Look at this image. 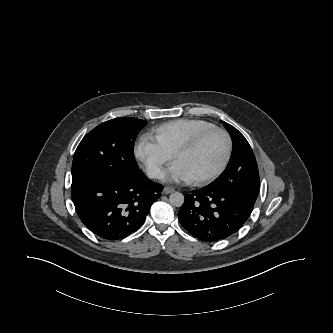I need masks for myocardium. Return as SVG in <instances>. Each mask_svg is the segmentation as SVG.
I'll use <instances>...</instances> for the list:
<instances>
[{
    "label": "myocardium",
    "instance_id": "obj_1",
    "mask_svg": "<svg viewBox=\"0 0 333 333\" xmlns=\"http://www.w3.org/2000/svg\"><path fill=\"white\" fill-rule=\"evenodd\" d=\"M218 132L225 138L226 141V153L225 157L221 163V165L211 174L204 176V177H198V178H192L190 181L193 184L196 185H206L214 180H216L227 168L231 157L233 153V141L230 136V134L223 128L218 126H213L211 128H208L206 130L201 131L200 133L196 134L194 137H192L188 142L181 145L172 155L173 161H176V159L192 150H194L207 136H209L212 133Z\"/></svg>",
    "mask_w": 333,
    "mask_h": 333
}]
</instances>
